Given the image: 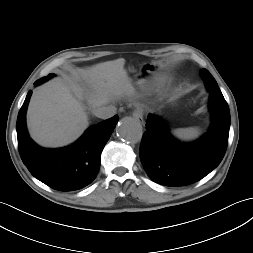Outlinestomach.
Segmentation results:
<instances>
[{
	"mask_svg": "<svg viewBox=\"0 0 253 253\" xmlns=\"http://www.w3.org/2000/svg\"><path fill=\"white\" fill-rule=\"evenodd\" d=\"M156 68L155 63H144L141 67V71L137 75L138 84H142L145 82L146 77L153 72Z\"/></svg>",
	"mask_w": 253,
	"mask_h": 253,
	"instance_id": "stomach-1",
	"label": "stomach"
}]
</instances>
